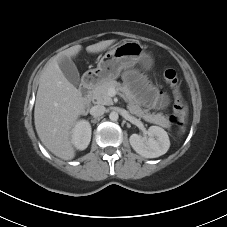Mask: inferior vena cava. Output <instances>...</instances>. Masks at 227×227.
<instances>
[{"label":"inferior vena cava","instance_id":"602c4592","mask_svg":"<svg viewBox=\"0 0 227 227\" xmlns=\"http://www.w3.org/2000/svg\"><path fill=\"white\" fill-rule=\"evenodd\" d=\"M105 111H106V108L104 106L96 105L90 109V114L92 116L99 117V116H102L105 113Z\"/></svg>","mask_w":227,"mask_h":227}]
</instances>
